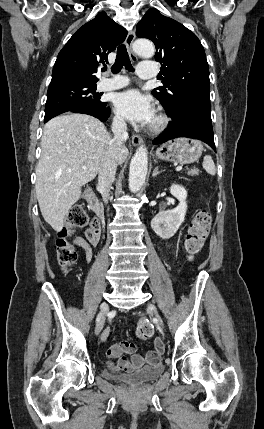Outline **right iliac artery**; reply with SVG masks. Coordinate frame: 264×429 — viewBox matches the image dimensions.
Segmentation results:
<instances>
[{"label": "right iliac artery", "mask_w": 264, "mask_h": 429, "mask_svg": "<svg viewBox=\"0 0 264 429\" xmlns=\"http://www.w3.org/2000/svg\"><path fill=\"white\" fill-rule=\"evenodd\" d=\"M100 318H101V314H99V315H98V317H97V321H99V320H100Z\"/></svg>", "instance_id": "right-iliac-artery-1"}]
</instances>
